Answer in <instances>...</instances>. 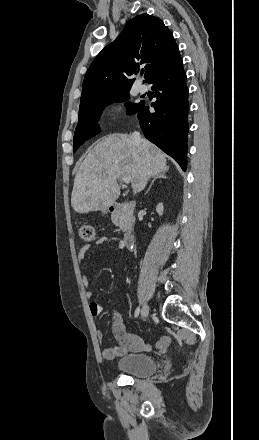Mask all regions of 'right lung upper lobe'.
I'll list each match as a JSON object with an SVG mask.
<instances>
[{
    "label": "right lung upper lobe",
    "mask_w": 259,
    "mask_h": 440,
    "mask_svg": "<svg viewBox=\"0 0 259 440\" xmlns=\"http://www.w3.org/2000/svg\"><path fill=\"white\" fill-rule=\"evenodd\" d=\"M179 54L170 30L157 17L141 14L128 21L115 41L90 65L83 82L80 107L131 88L139 67L149 82L156 72Z\"/></svg>",
    "instance_id": "cb5924a9"
}]
</instances>
